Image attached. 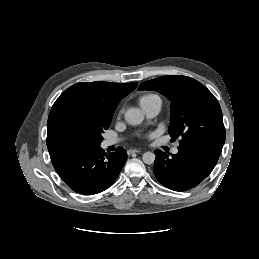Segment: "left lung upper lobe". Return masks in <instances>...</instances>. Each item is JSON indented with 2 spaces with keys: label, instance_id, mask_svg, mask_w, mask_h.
I'll return each mask as SVG.
<instances>
[{
  "label": "left lung upper lobe",
  "instance_id": "1",
  "mask_svg": "<svg viewBox=\"0 0 259 259\" xmlns=\"http://www.w3.org/2000/svg\"><path fill=\"white\" fill-rule=\"evenodd\" d=\"M139 90H155L171 101L168 132L180 138L179 147L207 142L223 145L225 128L222 111L214 95L197 80L168 75L143 82Z\"/></svg>",
  "mask_w": 259,
  "mask_h": 259
}]
</instances>
